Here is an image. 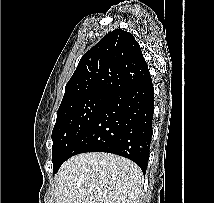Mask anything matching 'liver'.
<instances>
[{
    "label": "liver",
    "mask_w": 214,
    "mask_h": 203,
    "mask_svg": "<svg viewBox=\"0 0 214 203\" xmlns=\"http://www.w3.org/2000/svg\"><path fill=\"white\" fill-rule=\"evenodd\" d=\"M144 177L132 161L110 153L76 155L55 179L56 203H138Z\"/></svg>",
    "instance_id": "6515ba94"
}]
</instances>
